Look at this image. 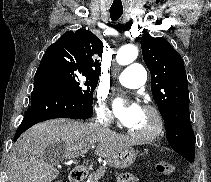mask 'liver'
<instances>
[{
  "label": "liver",
  "instance_id": "liver-1",
  "mask_svg": "<svg viewBox=\"0 0 211 182\" xmlns=\"http://www.w3.org/2000/svg\"><path fill=\"white\" fill-rule=\"evenodd\" d=\"M95 143V154L110 159L121 149L136 142L92 124L69 119H55L39 123L24 132L14 144L10 158L9 182H52L59 174L55 166L60 160L46 157V149L62 144L64 156L85 149Z\"/></svg>",
  "mask_w": 211,
  "mask_h": 182
}]
</instances>
